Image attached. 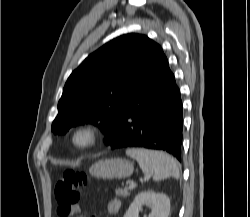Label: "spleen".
<instances>
[{
    "mask_svg": "<svg viewBox=\"0 0 250 217\" xmlns=\"http://www.w3.org/2000/svg\"><path fill=\"white\" fill-rule=\"evenodd\" d=\"M126 154L137 160L142 171L151 174L154 181L169 177L178 179L180 176L177 161L165 152L144 148H129L126 150Z\"/></svg>",
    "mask_w": 250,
    "mask_h": 217,
    "instance_id": "3e777b00",
    "label": "spleen"
}]
</instances>
